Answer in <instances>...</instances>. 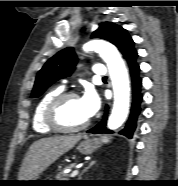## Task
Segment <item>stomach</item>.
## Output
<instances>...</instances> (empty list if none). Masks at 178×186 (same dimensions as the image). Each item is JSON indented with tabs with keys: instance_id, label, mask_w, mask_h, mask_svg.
Listing matches in <instances>:
<instances>
[{
	"instance_id": "stomach-1",
	"label": "stomach",
	"mask_w": 178,
	"mask_h": 186,
	"mask_svg": "<svg viewBox=\"0 0 178 186\" xmlns=\"http://www.w3.org/2000/svg\"><path fill=\"white\" fill-rule=\"evenodd\" d=\"M102 142L98 138H90L87 135L83 136V141L80 142L78 145L77 149L80 153L84 155H89L93 153L95 150H97L101 146ZM29 181H42L38 180V178H34ZM31 186H37V185H42L40 182H29Z\"/></svg>"
}]
</instances>
